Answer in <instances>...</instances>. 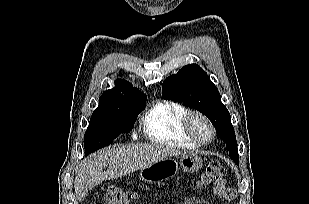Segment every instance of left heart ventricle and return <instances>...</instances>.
Returning <instances> with one entry per match:
<instances>
[{
	"label": "left heart ventricle",
	"mask_w": 309,
	"mask_h": 204,
	"mask_svg": "<svg viewBox=\"0 0 309 204\" xmlns=\"http://www.w3.org/2000/svg\"><path fill=\"white\" fill-rule=\"evenodd\" d=\"M193 128H194V132L195 134L202 140H207L210 137V130L209 127L207 126V124L197 118L194 120L193 122Z\"/></svg>",
	"instance_id": "1"
}]
</instances>
